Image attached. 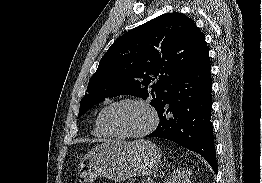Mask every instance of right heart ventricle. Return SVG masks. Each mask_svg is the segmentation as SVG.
Listing matches in <instances>:
<instances>
[{"label": "right heart ventricle", "mask_w": 262, "mask_h": 183, "mask_svg": "<svg viewBox=\"0 0 262 183\" xmlns=\"http://www.w3.org/2000/svg\"><path fill=\"white\" fill-rule=\"evenodd\" d=\"M92 134L100 139L106 138L107 136L101 131V129L99 128L98 125V117L96 118L95 122H94V126L92 129Z\"/></svg>", "instance_id": "obj_1"}]
</instances>
